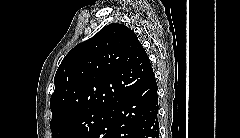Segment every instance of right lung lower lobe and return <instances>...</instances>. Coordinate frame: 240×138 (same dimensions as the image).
Listing matches in <instances>:
<instances>
[{"instance_id": "obj_1", "label": "right lung lower lobe", "mask_w": 240, "mask_h": 138, "mask_svg": "<svg viewBox=\"0 0 240 138\" xmlns=\"http://www.w3.org/2000/svg\"><path fill=\"white\" fill-rule=\"evenodd\" d=\"M155 77L113 103L90 138H158V97Z\"/></svg>"}]
</instances>
